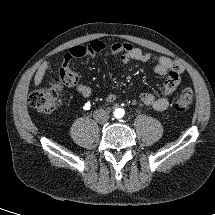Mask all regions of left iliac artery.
I'll list each match as a JSON object with an SVG mask.
<instances>
[{
    "instance_id": "left-iliac-artery-1",
    "label": "left iliac artery",
    "mask_w": 215,
    "mask_h": 215,
    "mask_svg": "<svg viewBox=\"0 0 215 215\" xmlns=\"http://www.w3.org/2000/svg\"><path fill=\"white\" fill-rule=\"evenodd\" d=\"M123 113H124V112H123V110H122V113L120 114L119 118H121V117L123 116Z\"/></svg>"
}]
</instances>
